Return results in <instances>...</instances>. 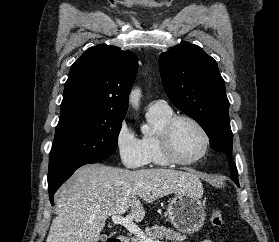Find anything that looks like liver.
<instances>
[{
    "label": "liver",
    "mask_w": 279,
    "mask_h": 242,
    "mask_svg": "<svg viewBox=\"0 0 279 242\" xmlns=\"http://www.w3.org/2000/svg\"><path fill=\"white\" fill-rule=\"evenodd\" d=\"M202 184L189 172L153 168L127 170L100 164L79 168L56 192L58 215L46 242H98L105 221L130 209L136 222L150 203L165 195L192 192L202 195Z\"/></svg>",
    "instance_id": "6515ba94"
}]
</instances>
